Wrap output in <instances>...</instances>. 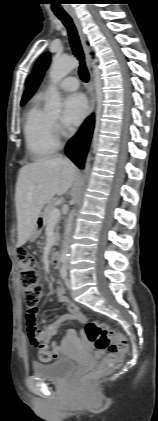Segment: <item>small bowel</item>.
<instances>
[{"mask_svg":"<svg viewBox=\"0 0 158 421\" xmlns=\"http://www.w3.org/2000/svg\"><path fill=\"white\" fill-rule=\"evenodd\" d=\"M55 294L57 301L65 305L67 314L63 317H59L54 321L46 323L43 329H40L34 312L31 310L27 315V331L31 343L35 347H47L49 348L56 357H60L63 353V346L57 342L49 343L51 337H53L60 325L64 321H80L83 322V316L81 315L78 306L73 303L66 295L65 289L61 282H57L55 285ZM78 340L77 334L73 329H69L63 337V344L67 345Z\"/></svg>","mask_w":158,"mask_h":421,"instance_id":"1","label":"small bowel"}]
</instances>
